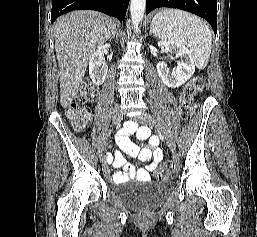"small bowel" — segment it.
<instances>
[{
	"mask_svg": "<svg viewBox=\"0 0 257 237\" xmlns=\"http://www.w3.org/2000/svg\"><path fill=\"white\" fill-rule=\"evenodd\" d=\"M135 133L137 139L147 140L148 146L143 147L137 145L129 139V135ZM119 149L109 155L108 161L115 167H123V170L113 174L115 183H123L130 178H136L139 181H149L150 173L157 167L162 159V152L158 148V139L150 135V131L146 128H138L133 122L125 124L122 133L116 137ZM125 154L137 157L140 162L148 163L144 168L136 169L133 165L126 162Z\"/></svg>",
	"mask_w": 257,
	"mask_h": 237,
	"instance_id": "c3829d8e",
	"label": "small bowel"
}]
</instances>
